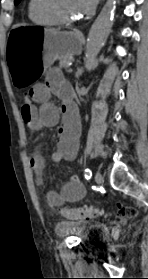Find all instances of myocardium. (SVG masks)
<instances>
[{
	"label": "myocardium",
	"instance_id": "1",
	"mask_svg": "<svg viewBox=\"0 0 148 279\" xmlns=\"http://www.w3.org/2000/svg\"><path fill=\"white\" fill-rule=\"evenodd\" d=\"M39 5L42 11L53 18L57 23L72 24L79 20L77 17H67L59 9L57 0H39Z\"/></svg>",
	"mask_w": 148,
	"mask_h": 279
}]
</instances>
